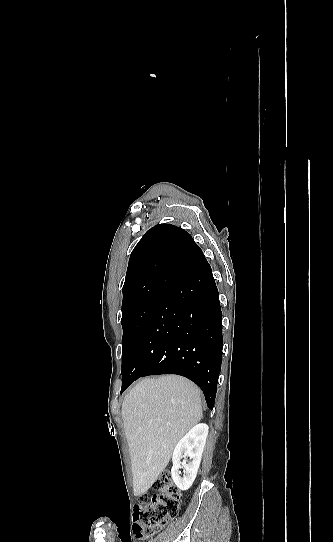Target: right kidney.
<instances>
[{
  "mask_svg": "<svg viewBox=\"0 0 333 542\" xmlns=\"http://www.w3.org/2000/svg\"><path fill=\"white\" fill-rule=\"evenodd\" d=\"M208 430L207 424H197L178 442L173 452L171 476L174 484L183 492L189 490L197 476ZM182 458H186V460L189 458L188 464L181 466L180 460ZM179 468L185 470L183 478L179 474Z\"/></svg>",
  "mask_w": 333,
  "mask_h": 542,
  "instance_id": "1",
  "label": "right kidney"
}]
</instances>
